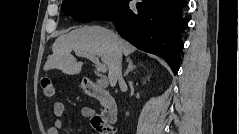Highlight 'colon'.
Returning <instances> with one entry per match:
<instances>
[{"instance_id": "obj_1", "label": "colon", "mask_w": 239, "mask_h": 134, "mask_svg": "<svg viewBox=\"0 0 239 134\" xmlns=\"http://www.w3.org/2000/svg\"><path fill=\"white\" fill-rule=\"evenodd\" d=\"M41 91L46 97H53L56 94V87L52 78L43 76L41 78ZM92 125L99 134H114V128L104 121L100 116L92 118Z\"/></svg>"}]
</instances>
